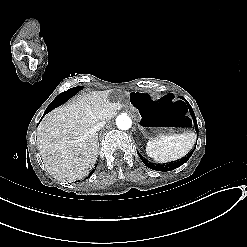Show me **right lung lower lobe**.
I'll use <instances>...</instances> for the list:
<instances>
[{
    "mask_svg": "<svg viewBox=\"0 0 247 247\" xmlns=\"http://www.w3.org/2000/svg\"><path fill=\"white\" fill-rule=\"evenodd\" d=\"M71 96L69 95V94H64V92L63 93H61V94H59L51 103H50V105L47 107V109H46V111H45V113H44V115L45 114H47L48 112H50L51 110L50 109H54V108H56V107H58L59 105H61V103H63V102H65L68 98H70ZM52 109V110H53ZM43 115V116H44ZM43 118V117H42ZM93 173V172H92ZM91 173V174H92ZM90 174V175H91Z\"/></svg>",
    "mask_w": 247,
    "mask_h": 247,
    "instance_id": "1",
    "label": "right lung lower lobe"
}]
</instances>
